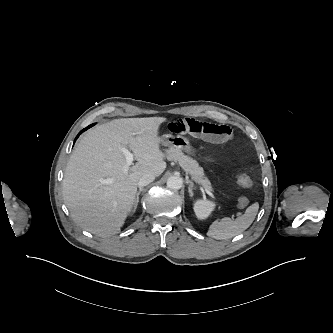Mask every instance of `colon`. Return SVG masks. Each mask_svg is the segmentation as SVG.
<instances>
[{"mask_svg":"<svg viewBox=\"0 0 333 333\" xmlns=\"http://www.w3.org/2000/svg\"><path fill=\"white\" fill-rule=\"evenodd\" d=\"M236 182L245 188H249L253 186V180L251 179L250 176L246 175V174H240L236 177ZM249 203L248 198L246 197H240L237 201V206L239 208H245Z\"/></svg>","mask_w":333,"mask_h":333,"instance_id":"colon-1","label":"colon"}]
</instances>
